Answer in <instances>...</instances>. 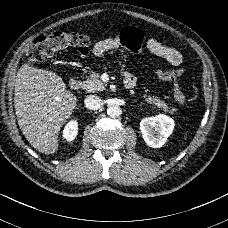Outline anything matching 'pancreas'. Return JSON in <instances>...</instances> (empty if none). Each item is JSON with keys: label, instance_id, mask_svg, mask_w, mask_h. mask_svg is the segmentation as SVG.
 <instances>
[{"label": "pancreas", "instance_id": "pancreas-1", "mask_svg": "<svg viewBox=\"0 0 228 228\" xmlns=\"http://www.w3.org/2000/svg\"><path fill=\"white\" fill-rule=\"evenodd\" d=\"M106 85L100 81V74L97 72H93L89 74L86 81H84L83 89L87 93H97L105 90ZM143 99L151 104L154 108L162 110L168 114H173L176 112V108L169 106L168 104L164 103L160 98H153L149 95H143Z\"/></svg>", "mask_w": 228, "mask_h": 228}]
</instances>
